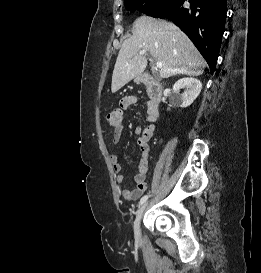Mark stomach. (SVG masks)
Segmentation results:
<instances>
[{"instance_id": "1", "label": "stomach", "mask_w": 261, "mask_h": 273, "mask_svg": "<svg viewBox=\"0 0 261 273\" xmlns=\"http://www.w3.org/2000/svg\"><path fill=\"white\" fill-rule=\"evenodd\" d=\"M136 81H137V82L141 81L140 77L136 78Z\"/></svg>"}]
</instances>
